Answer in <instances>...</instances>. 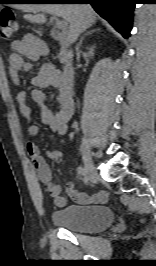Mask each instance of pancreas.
<instances>
[{
    "label": "pancreas",
    "mask_w": 156,
    "mask_h": 266,
    "mask_svg": "<svg viewBox=\"0 0 156 266\" xmlns=\"http://www.w3.org/2000/svg\"><path fill=\"white\" fill-rule=\"evenodd\" d=\"M59 60H60V63H62V64L71 63V61H72V53L70 51L69 52H65V53H60Z\"/></svg>",
    "instance_id": "1"
}]
</instances>
